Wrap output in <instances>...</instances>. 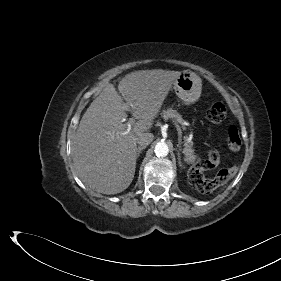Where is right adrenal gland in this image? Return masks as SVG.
Returning a JSON list of instances; mask_svg holds the SVG:
<instances>
[{
  "mask_svg": "<svg viewBox=\"0 0 281 281\" xmlns=\"http://www.w3.org/2000/svg\"><path fill=\"white\" fill-rule=\"evenodd\" d=\"M144 149V147H138L137 149V158L140 156L142 150Z\"/></svg>",
  "mask_w": 281,
  "mask_h": 281,
  "instance_id": "obj_1",
  "label": "right adrenal gland"
}]
</instances>
